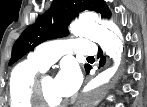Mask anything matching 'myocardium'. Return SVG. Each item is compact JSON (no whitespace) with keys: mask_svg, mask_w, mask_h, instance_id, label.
Wrapping results in <instances>:
<instances>
[{"mask_svg":"<svg viewBox=\"0 0 147 107\" xmlns=\"http://www.w3.org/2000/svg\"><path fill=\"white\" fill-rule=\"evenodd\" d=\"M47 76L49 75L43 73L35 78L32 84L31 94H30L32 104L34 105V107H63L64 105L67 104L66 101H62L58 103H50L45 99L42 86H43V80Z\"/></svg>","mask_w":147,"mask_h":107,"instance_id":"obj_1","label":"myocardium"}]
</instances>
